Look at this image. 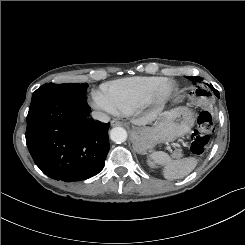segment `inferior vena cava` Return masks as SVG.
I'll return each mask as SVG.
<instances>
[{"label":"inferior vena cava","instance_id":"inferior-vena-cava-1","mask_svg":"<svg viewBox=\"0 0 245 245\" xmlns=\"http://www.w3.org/2000/svg\"><path fill=\"white\" fill-rule=\"evenodd\" d=\"M92 117L96 120L103 122V123H107L110 121V117L107 114H105L103 112H99V111H93Z\"/></svg>","mask_w":245,"mask_h":245}]
</instances>
